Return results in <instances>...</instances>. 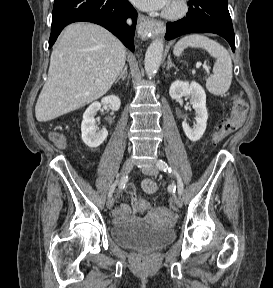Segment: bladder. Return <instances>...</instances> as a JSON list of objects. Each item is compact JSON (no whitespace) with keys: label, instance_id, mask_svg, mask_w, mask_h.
Wrapping results in <instances>:
<instances>
[{"label":"bladder","instance_id":"1","mask_svg":"<svg viewBox=\"0 0 273 288\" xmlns=\"http://www.w3.org/2000/svg\"><path fill=\"white\" fill-rule=\"evenodd\" d=\"M175 231L169 228L151 227L140 222L114 224L110 238L119 248L154 251L175 240Z\"/></svg>","mask_w":273,"mask_h":288}]
</instances>
